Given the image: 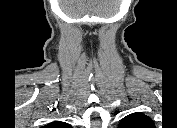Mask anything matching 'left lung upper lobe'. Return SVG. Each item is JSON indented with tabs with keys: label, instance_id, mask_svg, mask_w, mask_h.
<instances>
[{
	"label": "left lung upper lobe",
	"instance_id": "left-lung-upper-lobe-1",
	"mask_svg": "<svg viewBox=\"0 0 177 128\" xmlns=\"http://www.w3.org/2000/svg\"><path fill=\"white\" fill-rule=\"evenodd\" d=\"M119 128H154L155 125L150 117L142 113H132L124 117Z\"/></svg>",
	"mask_w": 177,
	"mask_h": 128
}]
</instances>
